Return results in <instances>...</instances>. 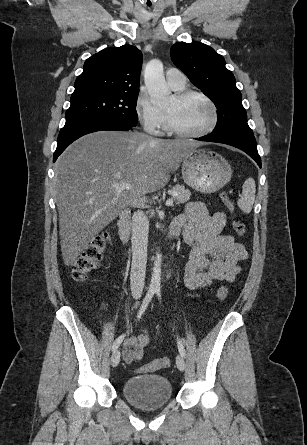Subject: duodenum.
Here are the masks:
<instances>
[{"label": "duodenum", "instance_id": "obj_1", "mask_svg": "<svg viewBox=\"0 0 307 445\" xmlns=\"http://www.w3.org/2000/svg\"><path fill=\"white\" fill-rule=\"evenodd\" d=\"M130 209H125L122 211L118 221V231L121 240L126 243L129 240L130 232H131V224H130ZM179 235V232L170 227L168 241L173 240L175 237Z\"/></svg>", "mask_w": 307, "mask_h": 445}]
</instances>
